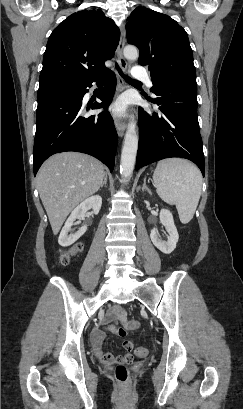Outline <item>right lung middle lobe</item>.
I'll return each instance as SVG.
<instances>
[{"label": "right lung middle lobe", "instance_id": "obj_1", "mask_svg": "<svg viewBox=\"0 0 243 409\" xmlns=\"http://www.w3.org/2000/svg\"><path fill=\"white\" fill-rule=\"evenodd\" d=\"M39 82L40 84H39L38 94L49 91V90L75 87L79 85V83L77 82H74V81H71L65 78H61V77L40 79Z\"/></svg>", "mask_w": 243, "mask_h": 409}]
</instances>
